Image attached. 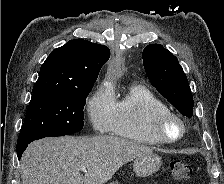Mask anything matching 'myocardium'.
<instances>
[{"instance_id":"obj_1","label":"myocardium","mask_w":224,"mask_h":184,"mask_svg":"<svg viewBox=\"0 0 224 184\" xmlns=\"http://www.w3.org/2000/svg\"><path fill=\"white\" fill-rule=\"evenodd\" d=\"M172 125L178 127L177 134L170 133L169 128ZM150 131L160 143H175L183 138L186 127L183 120L176 113L168 110L153 115Z\"/></svg>"}]
</instances>
